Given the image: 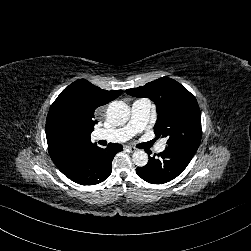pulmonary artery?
Wrapping results in <instances>:
<instances>
[{
	"label": "pulmonary artery",
	"mask_w": 251,
	"mask_h": 251,
	"mask_svg": "<svg viewBox=\"0 0 251 251\" xmlns=\"http://www.w3.org/2000/svg\"><path fill=\"white\" fill-rule=\"evenodd\" d=\"M151 111V103L147 99H139L133 102L131 117L128 124L122 128L112 129L105 133V139L110 142L123 143L128 141L138 130L144 129ZM157 152H162L165 145L158 141L155 144Z\"/></svg>",
	"instance_id": "pulmonary-artery-1"
}]
</instances>
